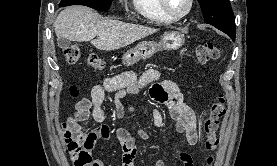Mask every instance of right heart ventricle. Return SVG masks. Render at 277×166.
I'll use <instances>...</instances> for the list:
<instances>
[{"label":"right heart ventricle","instance_id":"right-heart-ventricle-1","mask_svg":"<svg viewBox=\"0 0 277 166\" xmlns=\"http://www.w3.org/2000/svg\"><path fill=\"white\" fill-rule=\"evenodd\" d=\"M135 10L147 21L156 24L171 23L159 6L158 0H133Z\"/></svg>","mask_w":277,"mask_h":166}]
</instances>
